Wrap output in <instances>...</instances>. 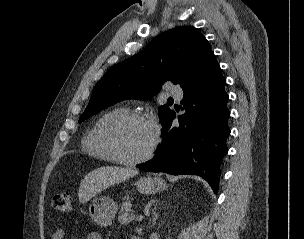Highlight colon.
<instances>
[{
    "label": "colon",
    "instance_id": "colon-1",
    "mask_svg": "<svg viewBox=\"0 0 304 239\" xmlns=\"http://www.w3.org/2000/svg\"><path fill=\"white\" fill-rule=\"evenodd\" d=\"M52 207L60 212H69L72 205V195L70 193H58L51 199Z\"/></svg>",
    "mask_w": 304,
    "mask_h": 239
}]
</instances>
